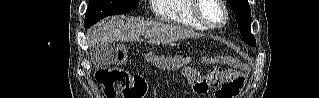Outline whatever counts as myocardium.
Listing matches in <instances>:
<instances>
[{"mask_svg":"<svg viewBox=\"0 0 319 98\" xmlns=\"http://www.w3.org/2000/svg\"><path fill=\"white\" fill-rule=\"evenodd\" d=\"M203 1H205V0H194L193 12H194L196 19L208 29H220V28L224 27L229 19V12H228V9H227L225 2L222 0H214L223 9L224 19H223L222 23H220V24H213L201 12V7H202Z\"/></svg>","mask_w":319,"mask_h":98,"instance_id":"obj_1","label":"myocardium"}]
</instances>
